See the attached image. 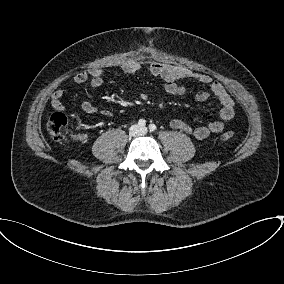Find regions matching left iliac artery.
Wrapping results in <instances>:
<instances>
[{"instance_id":"44dca946","label":"left iliac artery","mask_w":284,"mask_h":284,"mask_svg":"<svg viewBox=\"0 0 284 284\" xmlns=\"http://www.w3.org/2000/svg\"><path fill=\"white\" fill-rule=\"evenodd\" d=\"M149 130H150L151 132L155 131V130H156V125H155V124H150V125H149Z\"/></svg>"}]
</instances>
